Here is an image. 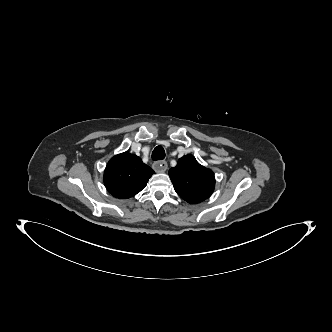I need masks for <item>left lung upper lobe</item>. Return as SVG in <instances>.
Here are the masks:
<instances>
[{"label":"left lung upper lobe","mask_w":332,"mask_h":332,"mask_svg":"<svg viewBox=\"0 0 332 332\" xmlns=\"http://www.w3.org/2000/svg\"><path fill=\"white\" fill-rule=\"evenodd\" d=\"M176 193L186 202L200 203L208 199L215 187L212 170L200 165L194 156L186 155L169 170Z\"/></svg>","instance_id":"left-lung-upper-lobe-1"}]
</instances>
